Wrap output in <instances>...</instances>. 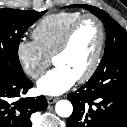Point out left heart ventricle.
I'll return each instance as SVG.
<instances>
[{"instance_id": "1", "label": "left heart ventricle", "mask_w": 127, "mask_h": 127, "mask_svg": "<svg viewBox=\"0 0 127 127\" xmlns=\"http://www.w3.org/2000/svg\"><path fill=\"white\" fill-rule=\"evenodd\" d=\"M99 43V28L93 20H85L77 28L69 48L54 64L63 67L76 78L90 66Z\"/></svg>"}]
</instances>
